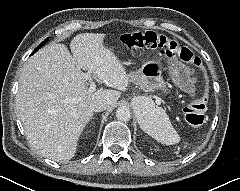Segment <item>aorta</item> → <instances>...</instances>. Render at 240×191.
<instances>
[{"mask_svg": "<svg viewBox=\"0 0 240 191\" xmlns=\"http://www.w3.org/2000/svg\"><path fill=\"white\" fill-rule=\"evenodd\" d=\"M140 101L142 102L144 108H148L150 106V101L146 98H141ZM116 117L120 121H129L131 118L130 109L127 106H120L116 110Z\"/></svg>", "mask_w": 240, "mask_h": 191, "instance_id": "1", "label": "aorta"}]
</instances>
